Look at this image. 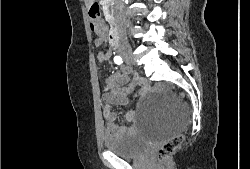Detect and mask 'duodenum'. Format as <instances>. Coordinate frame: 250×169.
I'll list each match as a JSON object with an SVG mask.
<instances>
[{
  "label": "duodenum",
  "instance_id": "410a0bca",
  "mask_svg": "<svg viewBox=\"0 0 250 169\" xmlns=\"http://www.w3.org/2000/svg\"><path fill=\"white\" fill-rule=\"evenodd\" d=\"M108 41L115 48H118L120 46L121 44L120 37H119L118 32L115 29L109 32Z\"/></svg>",
  "mask_w": 250,
  "mask_h": 169
}]
</instances>
